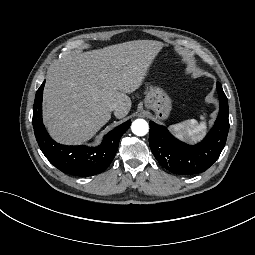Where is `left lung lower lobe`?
Instances as JSON below:
<instances>
[{"label":"left lung lower lobe","instance_id":"1","mask_svg":"<svg viewBox=\"0 0 255 255\" xmlns=\"http://www.w3.org/2000/svg\"><path fill=\"white\" fill-rule=\"evenodd\" d=\"M220 111L214 127L205 139L187 145L174 138L168 130L150 121L149 144L155 158L170 172L178 175H194L206 171L222 152L229 131V109L222 86L217 82Z\"/></svg>","mask_w":255,"mask_h":255}]
</instances>
